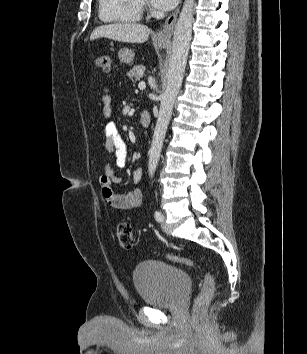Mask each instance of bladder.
Returning a JSON list of instances; mask_svg holds the SVG:
<instances>
[{
  "instance_id": "bladder-1",
  "label": "bladder",
  "mask_w": 307,
  "mask_h": 354,
  "mask_svg": "<svg viewBox=\"0 0 307 354\" xmlns=\"http://www.w3.org/2000/svg\"><path fill=\"white\" fill-rule=\"evenodd\" d=\"M132 277L142 301L159 307L179 306L192 285L187 272L158 260L138 263Z\"/></svg>"
}]
</instances>
